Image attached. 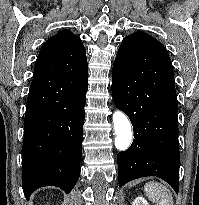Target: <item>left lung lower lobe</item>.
Masks as SVG:
<instances>
[{"instance_id": "obj_1", "label": "left lung lower lobe", "mask_w": 199, "mask_h": 205, "mask_svg": "<svg viewBox=\"0 0 199 205\" xmlns=\"http://www.w3.org/2000/svg\"><path fill=\"white\" fill-rule=\"evenodd\" d=\"M112 95L134 129L130 148L117 155L119 185L156 176L178 193V102L172 63L158 40L137 31L122 41L113 65Z\"/></svg>"}]
</instances>
